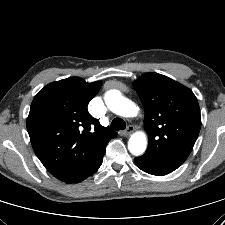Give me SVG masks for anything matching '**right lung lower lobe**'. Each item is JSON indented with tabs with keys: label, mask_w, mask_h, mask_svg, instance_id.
I'll use <instances>...</instances> for the list:
<instances>
[{
	"label": "right lung lower lobe",
	"mask_w": 225,
	"mask_h": 225,
	"mask_svg": "<svg viewBox=\"0 0 225 225\" xmlns=\"http://www.w3.org/2000/svg\"><path fill=\"white\" fill-rule=\"evenodd\" d=\"M106 145L107 144H105L102 147V149H100V152L98 154V158H97L95 164L93 165V167L90 170H88L87 172L81 174L78 177H75L74 179L66 180V181H63V182H65V183H78L80 181H83L84 179H86L87 177H89L90 175H92L93 173H95L98 170V168L100 167V165L102 164L103 156L105 154Z\"/></svg>",
	"instance_id": "1"
}]
</instances>
